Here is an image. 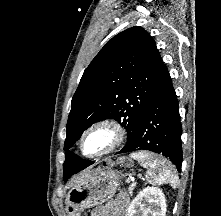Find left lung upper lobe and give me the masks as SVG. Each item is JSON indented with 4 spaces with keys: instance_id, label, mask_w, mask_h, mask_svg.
Returning <instances> with one entry per match:
<instances>
[{
    "instance_id": "left-lung-upper-lobe-1",
    "label": "left lung upper lobe",
    "mask_w": 221,
    "mask_h": 216,
    "mask_svg": "<svg viewBox=\"0 0 221 216\" xmlns=\"http://www.w3.org/2000/svg\"><path fill=\"white\" fill-rule=\"evenodd\" d=\"M161 63L154 40L139 26L109 40L84 71L72 98L64 150L90 125L108 118L126 128L128 143L147 108ZM86 162L66 152L63 179L83 170Z\"/></svg>"
}]
</instances>
